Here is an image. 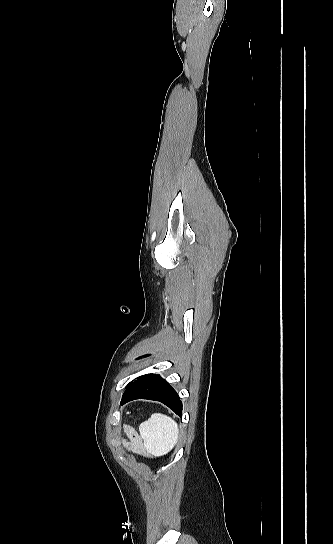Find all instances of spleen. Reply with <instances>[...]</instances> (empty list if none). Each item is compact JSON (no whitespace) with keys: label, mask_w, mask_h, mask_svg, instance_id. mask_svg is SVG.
<instances>
[{"label":"spleen","mask_w":333,"mask_h":544,"mask_svg":"<svg viewBox=\"0 0 333 544\" xmlns=\"http://www.w3.org/2000/svg\"><path fill=\"white\" fill-rule=\"evenodd\" d=\"M141 437L149 451L155 455L170 452L178 441L177 423L169 416L154 413L139 426Z\"/></svg>","instance_id":"1"}]
</instances>
